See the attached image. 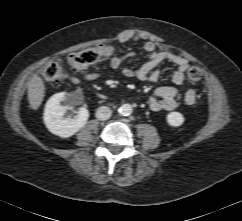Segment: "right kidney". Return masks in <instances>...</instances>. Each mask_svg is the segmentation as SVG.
I'll list each match as a JSON object with an SVG mask.
<instances>
[{"instance_id": "ca27d5eb", "label": "right kidney", "mask_w": 242, "mask_h": 221, "mask_svg": "<svg viewBox=\"0 0 242 221\" xmlns=\"http://www.w3.org/2000/svg\"><path fill=\"white\" fill-rule=\"evenodd\" d=\"M65 102V106L61 105ZM77 102L67 93L54 94L47 101L44 111V123L47 129L57 136L68 138L77 133L87 123L89 112L85 107L72 110L74 117H64L67 109H73Z\"/></svg>"}]
</instances>
